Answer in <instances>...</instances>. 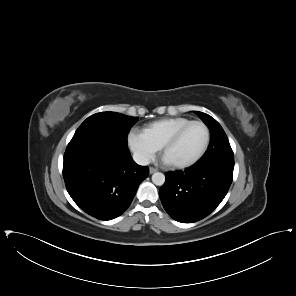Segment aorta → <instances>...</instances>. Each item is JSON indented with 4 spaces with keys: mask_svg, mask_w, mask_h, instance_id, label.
Wrapping results in <instances>:
<instances>
[{
    "mask_svg": "<svg viewBox=\"0 0 296 296\" xmlns=\"http://www.w3.org/2000/svg\"><path fill=\"white\" fill-rule=\"evenodd\" d=\"M152 182L157 186H162L165 182V175L161 172H156L152 175Z\"/></svg>",
    "mask_w": 296,
    "mask_h": 296,
    "instance_id": "aorta-1",
    "label": "aorta"
}]
</instances>
